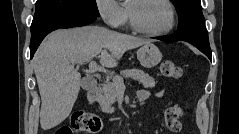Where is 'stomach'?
<instances>
[{"label": "stomach", "instance_id": "obj_1", "mask_svg": "<svg viewBox=\"0 0 239 134\" xmlns=\"http://www.w3.org/2000/svg\"><path fill=\"white\" fill-rule=\"evenodd\" d=\"M137 58L144 68H153L160 63L162 54L155 44L149 42L138 49Z\"/></svg>", "mask_w": 239, "mask_h": 134}]
</instances>
